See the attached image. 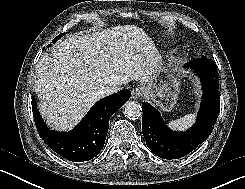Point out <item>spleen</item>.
Segmentation results:
<instances>
[{"label":"spleen","instance_id":"3e777b00","mask_svg":"<svg viewBox=\"0 0 245 189\" xmlns=\"http://www.w3.org/2000/svg\"><path fill=\"white\" fill-rule=\"evenodd\" d=\"M195 122V114H187L180 119L170 121L169 126L173 129L183 130Z\"/></svg>","mask_w":245,"mask_h":189}]
</instances>
